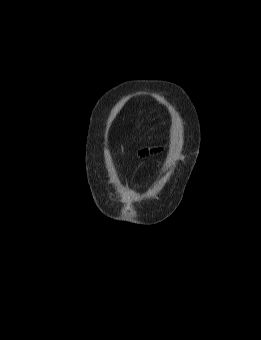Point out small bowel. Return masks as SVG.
I'll use <instances>...</instances> for the list:
<instances>
[{
	"label": "small bowel",
	"instance_id": "obj_1",
	"mask_svg": "<svg viewBox=\"0 0 261 340\" xmlns=\"http://www.w3.org/2000/svg\"><path fill=\"white\" fill-rule=\"evenodd\" d=\"M160 152V149L153 148V149H142L138 152V156L140 159H145L150 157L153 154H157Z\"/></svg>",
	"mask_w": 261,
	"mask_h": 340
}]
</instances>
